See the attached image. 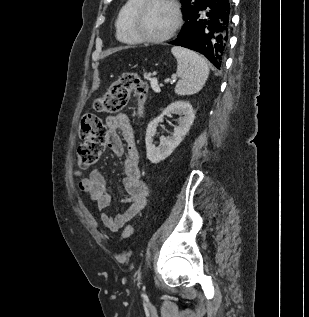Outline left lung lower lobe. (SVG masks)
Listing matches in <instances>:
<instances>
[{"label":"left lung lower lobe","instance_id":"1","mask_svg":"<svg viewBox=\"0 0 309 317\" xmlns=\"http://www.w3.org/2000/svg\"><path fill=\"white\" fill-rule=\"evenodd\" d=\"M231 12V0H204L184 16L179 36L169 43L203 54L219 69L228 45Z\"/></svg>","mask_w":309,"mask_h":317}]
</instances>
